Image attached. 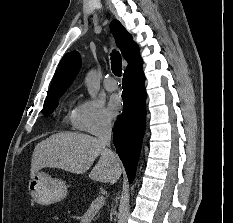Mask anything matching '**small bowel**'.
Here are the masks:
<instances>
[{
    "instance_id": "1",
    "label": "small bowel",
    "mask_w": 233,
    "mask_h": 223,
    "mask_svg": "<svg viewBox=\"0 0 233 223\" xmlns=\"http://www.w3.org/2000/svg\"><path fill=\"white\" fill-rule=\"evenodd\" d=\"M81 223H88V218L85 216L82 218Z\"/></svg>"
}]
</instances>
